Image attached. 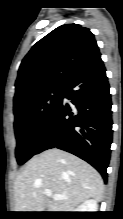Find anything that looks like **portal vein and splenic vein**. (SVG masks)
<instances>
[{
	"mask_svg": "<svg viewBox=\"0 0 123 219\" xmlns=\"http://www.w3.org/2000/svg\"><path fill=\"white\" fill-rule=\"evenodd\" d=\"M45 195L47 197H52L55 200L67 199L68 197L65 195L53 194L50 190H45Z\"/></svg>",
	"mask_w": 123,
	"mask_h": 219,
	"instance_id": "obj_1",
	"label": "portal vein and splenic vein"
}]
</instances>
